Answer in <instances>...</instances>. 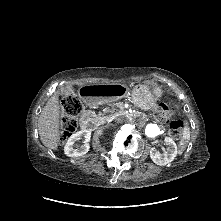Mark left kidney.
<instances>
[{"label": "left kidney", "mask_w": 221, "mask_h": 221, "mask_svg": "<svg viewBox=\"0 0 221 221\" xmlns=\"http://www.w3.org/2000/svg\"><path fill=\"white\" fill-rule=\"evenodd\" d=\"M167 145V149L164 153H160L156 148L150 149V158L152 161L160 166L171 163L177 155V145L170 137H166L164 140Z\"/></svg>", "instance_id": "left-kidney-1"}]
</instances>
